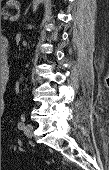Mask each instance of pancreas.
<instances>
[{
  "label": "pancreas",
  "mask_w": 109,
  "mask_h": 170,
  "mask_svg": "<svg viewBox=\"0 0 109 170\" xmlns=\"http://www.w3.org/2000/svg\"><path fill=\"white\" fill-rule=\"evenodd\" d=\"M9 16V12L5 9H1V19H5V17Z\"/></svg>",
  "instance_id": "obj_1"
}]
</instances>
